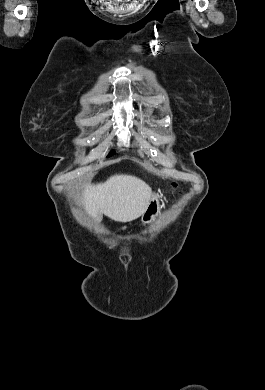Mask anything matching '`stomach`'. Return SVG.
Here are the masks:
<instances>
[{
  "label": "stomach",
  "mask_w": 265,
  "mask_h": 390,
  "mask_svg": "<svg viewBox=\"0 0 265 390\" xmlns=\"http://www.w3.org/2000/svg\"><path fill=\"white\" fill-rule=\"evenodd\" d=\"M159 212H160L159 196L157 194H153L145 213L142 215V223L143 224L151 223L156 219Z\"/></svg>",
  "instance_id": "0dacf381"
}]
</instances>
